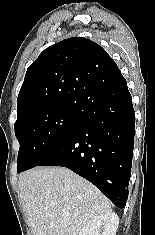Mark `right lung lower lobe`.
<instances>
[{
	"instance_id": "obj_1",
	"label": "right lung lower lobe",
	"mask_w": 155,
	"mask_h": 235,
	"mask_svg": "<svg viewBox=\"0 0 155 235\" xmlns=\"http://www.w3.org/2000/svg\"><path fill=\"white\" fill-rule=\"evenodd\" d=\"M82 125L37 166L67 167L93 183L115 206L128 198L134 108L125 78L95 87L78 108Z\"/></svg>"
}]
</instances>
